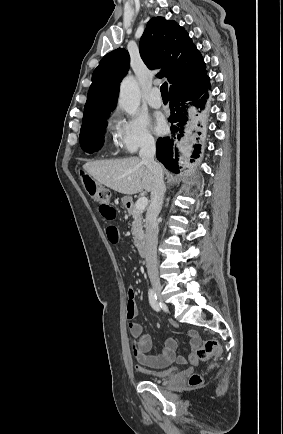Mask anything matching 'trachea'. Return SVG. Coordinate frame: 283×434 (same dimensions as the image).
I'll list each match as a JSON object with an SVG mask.
<instances>
[{"mask_svg":"<svg viewBox=\"0 0 283 434\" xmlns=\"http://www.w3.org/2000/svg\"><path fill=\"white\" fill-rule=\"evenodd\" d=\"M161 95L162 97L168 98V84L167 82H164L160 87Z\"/></svg>","mask_w":283,"mask_h":434,"instance_id":"1","label":"trachea"}]
</instances>
